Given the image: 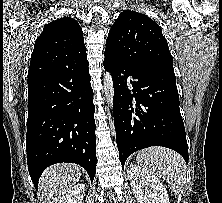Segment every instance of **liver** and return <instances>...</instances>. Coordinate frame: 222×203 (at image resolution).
Listing matches in <instances>:
<instances>
[{"mask_svg": "<svg viewBox=\"0 0 222 203\" xmlns=\"http://www.w3.org/2000/svg\"><path fill=\"white\" fill-rule=\"evenodd\" d=\"M81 176L80 167L71 163H59L47 168L39 179L41 203H57L61 196Z\"/></svg>", "mask_w": 222, "mask_h": 203, "instance_id": "6515ba94", "label": "liver"}]
</instances>
